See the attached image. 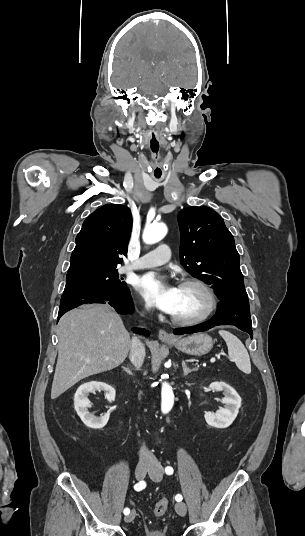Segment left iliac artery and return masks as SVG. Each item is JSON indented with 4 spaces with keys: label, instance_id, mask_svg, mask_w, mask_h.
I'll return each mask as SVG.
<instances>
[{
    "label": "left iliac artery",
    "instance_id": "obj_1",
    "mask_svg": "<svg viewBox=\"0 0 305 536\" xmlns=\"http://www.w3.org/2000/svg\"><path fill=\"white\" fill-rule=\"evenodd\" d=\"M165 473L167 475H171L173 473V468L172 467H166L165 468ZM175 499H176L177 502H180V501H182L183 497H182V495L178 494V495H176Z\"/></svg>",
    "mask_w": 305,
    "mask_h": 536
}]
</instances>
